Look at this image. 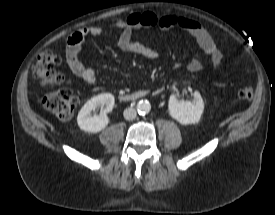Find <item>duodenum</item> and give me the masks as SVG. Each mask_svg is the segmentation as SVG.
Here are the masks:
<instances>
[{
	"label": "duodenum",
	"mask_w": 275,
	"mask_h": 215,
	"mask_svg": "<svg viewBox=\"0 0 275 215\" xmlns=\"http://www.w3.org/2000/svg\"><path fill=\"white\" fill-rule=\"evenodd\" d=\"M147 96H148V92L137 91V92L128 93V94H121V95H119V99L122 102H134V101L140 100L142 98H145Z\"/></svg>",
	"instance_id": "1"
}]
</instances>
